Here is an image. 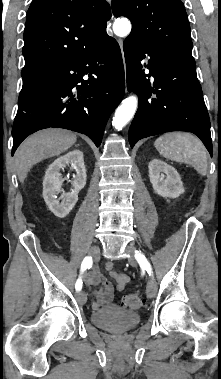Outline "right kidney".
I'll return each instance as SVG.
<instances>
[{"mask_svg": "<svg viewBox=\"0 0 221 379\" xmlns=\"http://www.w3.org/2000/svg\"><path fill=\"white\" fill-rule=\"evenodd\" d=\"M67 165H71L76 170V176L72 181L71 192L61 193L64 182L60 170H64ZM86 169L84 165L83 152L72 150L67 154L57 158L49 165L43 179V198L48 208L60 218L66 217L74 208L78 201V193L86 185Z\"/></svg>", "mask_w": 221, "mask_h": 379, "instance_id": "right-kidney-1", "label": "right kidney"}]
</instances>
